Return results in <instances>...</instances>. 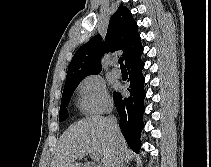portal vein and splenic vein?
<instances>
[{"instance_id": "portal-vein-and-splenic-vein-1", "label": "portal vein and splenic vein", "mask_w": 211, "mask_h": 167, "mask_svg": "<svg viewBox=\"0 0 211 167\" xmlns=\"http://www.w3.org/2000/svg\"><path fill=\"white\" fill-rule=\"evenodd\" d=\"M90 157L95 160V161H99L100 160V155L98 153H91ZM97 167H101V166H97Z\"/></svg>"}]
</instances>
